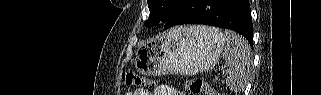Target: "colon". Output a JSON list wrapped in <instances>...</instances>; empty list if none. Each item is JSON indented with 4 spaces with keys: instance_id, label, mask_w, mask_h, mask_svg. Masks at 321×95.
I'll return each mask as SVG.
<instances>
[{
    "instance_id": "obj_1",
    "label": "colon",
    "mask_w": 321,
    "mask_h": 95,
    "mask_svg": "<svg viewBox=\"0 0 321 95\" xmlns=\"http://www.w3.org/2000/svg\"><path fill=\"white\" fill-rule=\"evenodd\" d=\"M122 79L125 84L129 86L146 87L153 84L152 80L137 75L136 73L129 70L122 73ZM184 87L191 94L219 95V93L215 89H213L200 79H188L185 81Z\"/></svg>"
}]
</instances>
